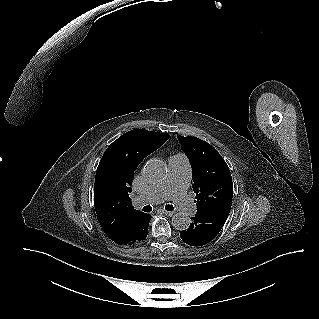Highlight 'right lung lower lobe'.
<instances>
[{"mask_svg": "<svg viewBox=\"0 0 319 319\" xmlns=\"http://www.w3.org/2000/svg\"><path fill=\"white\" fill-rule=\"evenodd\" d=\"M151 216L149 214H143L139 216L136 221L131 225L126 236L123 238L122 245H134L143 241L148 234V226Z\"/></svg>", "mask_w": 319, "mask_h": 319, "instance_id": "1", "label": "right lung lower lobe"}]
</instances>
